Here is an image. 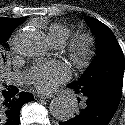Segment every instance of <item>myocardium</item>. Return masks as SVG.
I'll list each match as a JSON object with an SVG mask.
<instances>
[{"instance_id": "obj_1", "label": "myocardium", "mask_w": 125, "mask_h": 125, "mask_svg": "<svg viewBox=\"0 0 125 125\" xmlns=\"http://www.w3.org/2000/svg\"><path fill=\"white\" fill-rule=\"evenodd\" d=\"M69 59L79 67L87 66L96 52L95 38L89 33L75 35L67 47Z\"/></svg>"}]
</instances>
